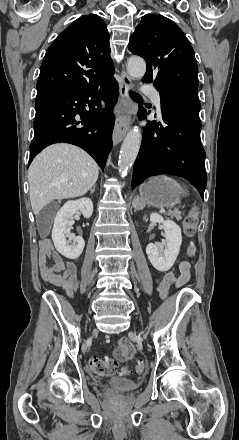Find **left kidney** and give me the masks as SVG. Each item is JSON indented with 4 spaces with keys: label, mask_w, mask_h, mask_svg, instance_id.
<instances>
[{
    "label": "left kidney",
    "mask_w": 239,
    "mask_h": 440,
    "mask_svg": "<svg viewBox=\"0 0 239 440\" xmlns=\"http://www.w3.org/2000/svg\"><path fill=\"white\" fill-rule=\"evenodd\" d=\"M150 222L163 224L166 246H163V244H160V246L148 244L146 248L148 260L158 272H168L180 252L182 244L181 228L172 220H164L159 214H150Z\"/></svg>",
    "instance_id": "obj_1"
}]
</instances>
